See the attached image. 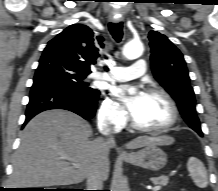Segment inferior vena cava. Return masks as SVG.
<instances>
[{
	"label": "inferior vena cava",
	"instance_id": "obj_1",
	"mask_svg": "<svg viewBox=\"0 0 218 191\" xmlns=\"http://www.w3.org/2000/svg\"><path fill=\"white\" fill-rule=\"evenodd\" d=\"M98 130L102 135L107 137V146L112 147L115 145V140L112 136V130L106 119H102L98 122ZM103 181V170L100 167L93 168L87 176V190H102Z\"/></svg>",
	"mask_w": 218,
	"mask_h": 191
}]
</instances>
